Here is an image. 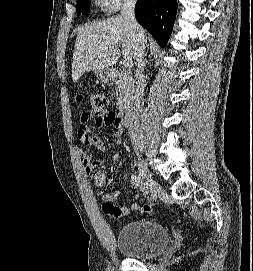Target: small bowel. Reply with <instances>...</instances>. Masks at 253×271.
I'll return each instance as SVG.
<instances>
[{"label": "small bowel", "mask_w": 253, "mask_h": 271, "mask_svg": "<svg viewBox=\"0 0 253 271\" xmlns=\"http://www.w3.org/2000/svg\"><path fill=\"white\" fill-rule=\"evenodd\" d=\"M94 117L93 113L86 112L83 113L80 117L79 125L77 128V137L82 144L90 145L96 148L98 151L103 152L105 150L104 142L97 136L91 134L89 121ZM96 125L99 128H106L114 126V120H110L107 117V112L99 115L96 118ZM115 126L118 128L117 131V143L121 142L120 136L123 132V128L118 126L115 123ZM78 156L82 164L83 169L87 173H93V183L96 187H104L107 184L108 173L105 170L94 171L96 164L99 161L93 160L88 154H86L81 149H78ZM126 178V176H124ZM120 195V191L116 190L111 193H107L102 196L103 211L104 213L112 219H118L124 217L130 213L128 207H117L112 205V202L115 201ZM110 205V207H105L104 205Z\"/></svg>", "instance_id": "obj_1"}]
</instances>
